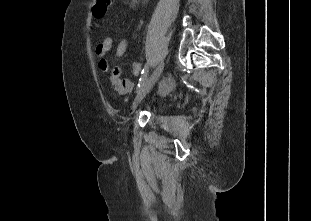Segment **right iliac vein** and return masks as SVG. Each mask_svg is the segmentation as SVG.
Instances as JSON below:
<instances>
[{"label": "right iliac vein", "instance_id": "1", "mask_svg": "<svg viewBox=\"0 0 311 221\" xmlns=\"http://www.w3.org/2000/svg\"><path fill=\"white\" fill-rule=\"evenodd\" d=\"M164 68V63L162 62L152 73V75L141 85L139 88L136 98L133 102L132 109L135 110L139 103L143 100L146 94L150 91L156 81L159 79Z\"/></svg>", "mask_w": 311, "mask_h": 221}]
</instances>
